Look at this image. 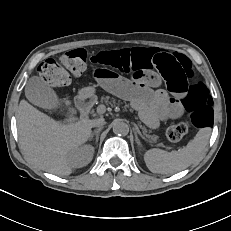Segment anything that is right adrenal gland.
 I'll return each mask as SVG.
<instances>
[{"label": "right adrenal gland", "mask_w": 231, "mask_h": 231, "mask_svg": "<svg viewBox=\"0 0 231 231\" xmlns=\"http://www.w3.org/2000/svg\"><path fill=\"white\" fill-rule=\"evenodd\" d=\"M102 127L99 129H96L90 136V141L93 139L94 135L96 136V144L98 143V139H99V133L101 132Z\"/></svg>", "instance_id": "2a0ac1e0"}]
</instances>
